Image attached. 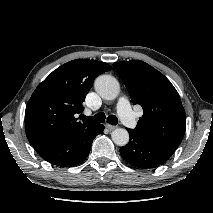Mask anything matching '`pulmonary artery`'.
<instances>
[{
    "label": "pulmonary artery",
    "instance_id": "e3ab8cb5",
    "mask_svg": "<svg viewBox=\"0 0 213 213\" xmlns=\"http://www.w3.org/2000/svg\"><path fill=\"white\" fill-rule=\"evenodd\" d=\"M117 111L122 122L129 128L136 126L135 117L131 111L128 100L125 97H121L117 104Z\"/></svg>",
    "mask_w": 213,
    "mask_h": 213
}]
</instances>
